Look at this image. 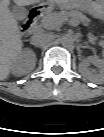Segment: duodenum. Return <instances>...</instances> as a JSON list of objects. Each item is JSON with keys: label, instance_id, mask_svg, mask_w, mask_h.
<instances>
[{"label": "duodenum", "instance_id": "obj_1", "mask_svg": "<svg viewBox=\"0 0 104 137\" xmlns=\"http://www.w3.org/2000/svg\"><path fill=\"white\" fill-rule=\"evenodd\" d=\"M50 7L47 4H41L33 8L23 23V32L27 35H31L34 32L35 24L38 18L49 12Z\"/></svg>", "mask_w": 104, "mask_h": 137}]
</instances>
